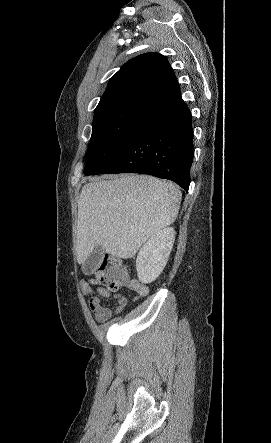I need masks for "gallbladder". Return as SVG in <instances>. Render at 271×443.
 Masks as SVG:
<instances>
[{"label": "gallbladder", "mask_w": 271, "mask_h": 443, "mask_svg": "<svg viewBox=\"0 0 271 443\" xmlns=\"http://www.w3.org/2000/svg\"><path fill=\"white\" fill-rule=\"evenodd\" d=\"M103 253H105V249L101 247V245H97L96 249L92 251L91 255L87 257L86 261H83L81 265V269L83 273H86V275H89V273H97L99 270V267L97 264H92L93 259H100V257H103Z\"/></svg>", "instance_id": "obj_1"}]
</instances>
